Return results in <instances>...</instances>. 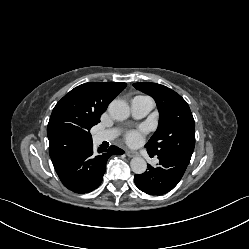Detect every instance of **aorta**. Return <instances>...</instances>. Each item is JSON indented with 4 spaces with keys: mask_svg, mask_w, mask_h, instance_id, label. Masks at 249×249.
<instances>
[{
    "mask_svg": "<svg viewBox=\"0 0 249 249\" xmlns=\"http://www.w3.org/2000/svg\"><path fill=\"white\" fill-rule=\"evenodd\" d=\"M108 112L113 119L123 121L129 117L130 108L123 100H113L108 106ZM130 166L135 174H143L147 169V163L141 157L133 158Z\"/></svg>",
    "mask_w": 249,
    "mask_h": 249,
    "instance_id": "1",
    "label": "aorta"
}]
</instances>
